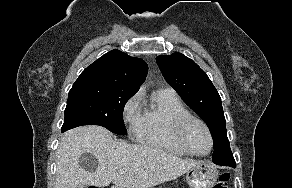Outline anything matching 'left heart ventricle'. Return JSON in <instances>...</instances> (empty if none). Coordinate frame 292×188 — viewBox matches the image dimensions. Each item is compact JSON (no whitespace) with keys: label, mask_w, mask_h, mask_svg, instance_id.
Listing matches in <instances>:
<instances>
[{"label":"left heart ventricle","mask_w":292,"mask_h":188,"mask_svg":"<svg viewBox=\"0 0 292 188\" xmlns=\"http://www.w3.org/2000/svg\"><path fill=\"white\" fill-rule=\"evenodd\" d=\"M189 146L197 153H206L210 142L205 129L198 123H191L186 131Z\"/></svg>","instance_id":"1"}]
</instances>
